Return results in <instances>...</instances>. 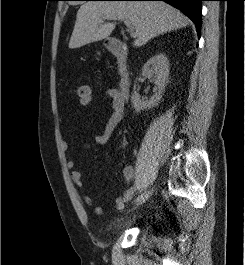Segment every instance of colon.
<instances>
[{"label": "colon", "instance_id": "obj_1", "mask_svg": "<svg viewBox=\"0 0 245 265\" xmlns=\"http://www.w3.org/2000/svg\"><path fill=\"white\" fill-rule=\"evenodd\" d=\"M76 96L82 106H87L92 102V89L88 85H79L75 90Z\"/></svg>", "mask_w": 245, "mask_h": 265}]
</instances>
